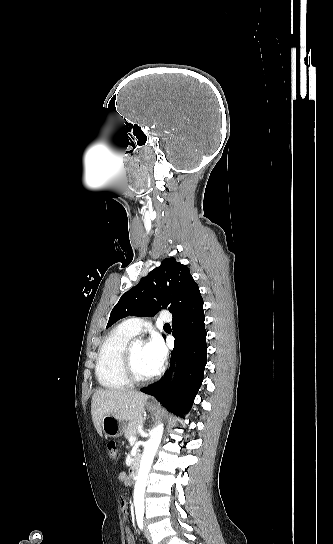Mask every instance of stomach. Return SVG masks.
I'll return each instance as SVG.
<instances>
[{
  "instance_id": "stomach-1",
  "label": "stomach",
  "mask_w": 333,
  "mask_h": 544,
  "mask_svg": "<svg viewBox=\"0 0 333 544\" xmlns=\"http://www.w3.org/2000/svg\"><path fill=\"white\" fill-rule=\"evenodd\" d=\"M150 411H155V407L149 406ZM125 424L122 420L116 419L111 415L103 417L101 422V430L107 437H119L122 435Z\"/></svg>"
}]
</instances>
